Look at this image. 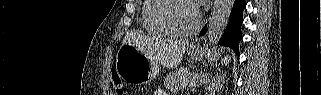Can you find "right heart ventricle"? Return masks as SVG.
<instances>
[{"label": "right heart ventricle", "mask_w": 321, "mask_h": 95, "mask_svg": "<svg viewBox=\"0 0 321 95\" xmlns=\"http://www.w3.org/2000/svg\"><path fill=\"white\" fill-rule=\"evenodd\" d=\"M161 0H144L141 6V23L143 27L153 35L167 36L170 33L164 29L157 21L155 12Z\"/></svg>", "instance_id": "right-heart-ventricle-1"}]
</instances>
